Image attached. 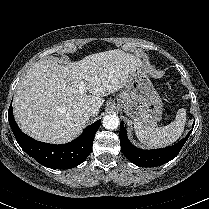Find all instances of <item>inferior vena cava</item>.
Masks as SVG:
<instances>
[{"label": "inferior vena cava", "instance_id": "1", "mask_svg": "<svg viewBox=\"0 0 209 209\" xmlns=\"http://www.w3.org/2000/svg\"><path fill=\"white\" fill-rule=\"evenodd\" d=\"M97 113H98V109L93 107V106H87L85 108V114L89 117L90 116H95Z\"/></svg>", "mask_w": 209, "mask_h": 209}]
</instances>
